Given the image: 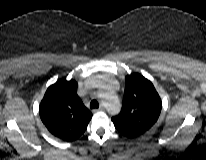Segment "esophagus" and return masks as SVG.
<instances>
[{"mask_svg":"<svg viewBox=\"0 0 206 160\" xmlns=\"http://www.w3.org/2000/svg\"><path fill=\"white\" fill-rule=\"evenodd\" d=\"M105 107L104 105H101L98 109H95V111H104Z\"/></svg>","mask_w":206,"mask_h":160,"instance_id":"esophagus-1","label":"esophagus"}]
</instances>
